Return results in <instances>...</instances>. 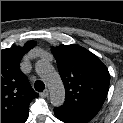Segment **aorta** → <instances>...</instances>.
<instances>
[{"label":"aorta","mask_w":123,"mask_h":123,"mask_svg":"<svg viewBox=\"0 0 123 123\" xmlns=\"http://www.w3.org/2000/svg\"><path fill=\"white\" fill-rule=\"evenodd\" d=\"M35 69L49 89L51 104L61 106L65 100V88L58 72L47 60H39Z\"/></svg>","instance_id":"762f6f07"}]
</instances>
